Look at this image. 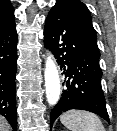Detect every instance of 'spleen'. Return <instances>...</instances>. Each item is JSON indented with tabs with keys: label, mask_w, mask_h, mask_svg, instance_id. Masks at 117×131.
Masks as SVG:
<instances>
[{
	"label": "spleen",
	"mask_w": 117,
	"mask_h": 131,
	"mask_svg": "<svg viewBox=\"0 0 117 131\" xmlns=\"http://www.w3.org/2000/svg\"><path fill=\"white\" fill-rule=\"evenodd\" d=\"M60 121L70 131H105L100 118L87 111L70 110L61 116Z\"/></svg>",
	"instance_id": "spleen-1"
}]
</instances>
